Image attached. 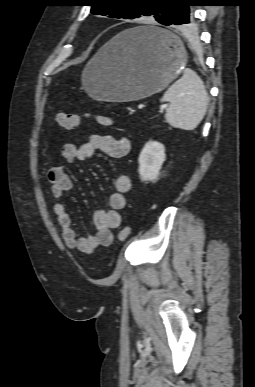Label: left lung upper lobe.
I'll return each mask as SVG.
<instances>
[{
    "label": "left lung upper lobe",
    "mask_w": 255,
    "mask_h": 387,
    "mask_svg": "<svg viewBox=\"0 0 255 387\" xmlns=\"http://www.w3.org/2000/svg\"><path fill=\"white\" fill-rule=\"evenodd\" d=\"M183 1L186 0H87L94 15L123 19L153 15L161 24L170 20L176 5Z\"/></svg>",
    "instance_id": "5c2ea615"
}]
</instances>
